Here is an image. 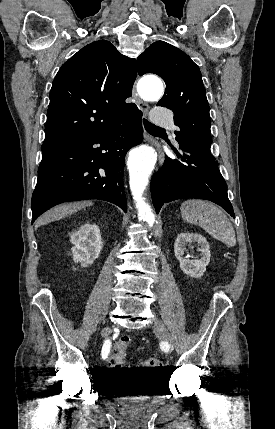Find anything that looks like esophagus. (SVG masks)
I'll return each instance as SVG.
<instances>
[{"label":"esophagus","instance_id":"34e87169","mask_svg":"<svg viewBox=\"0 0 275 429\" xmlns=\"http://www.w3.org/2000/svg\"><path fill=\"white\" fill-rule=\"evenodd\" d=\"M134 101L136 102L138 108L146 115L149 109V106L147 103H145L144 101H142L139 97L138 94L136 93L135 87L133 88V92H132ZM145 138L147 141H149L151 144L156 145L155 141L153 139H151L149 137V135L145 134ZM157 151H158V160H159V164L161 165L164 161V153L161 151V149L159 147H157Z\"/></svg>","mask_w":275,"mask_h":429}]
</instances>
